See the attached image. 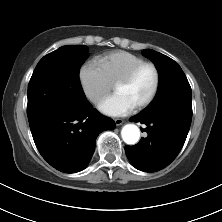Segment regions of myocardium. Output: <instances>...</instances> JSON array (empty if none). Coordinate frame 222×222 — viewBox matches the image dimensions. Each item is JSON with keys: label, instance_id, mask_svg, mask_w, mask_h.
Returning <instances> with one entry per match:
<instances>
[{"label": "myocardium", "instance_id": "1", "mask_svg": "<svg viewBox=\"0 0 222 222\" xmlns=\"http://www.w3.org/2000/svg\"><path fill=\"white\" fill-rule=\"evenodd\" d=\"M151 68L154 72L155 75V83H154V87L150 93V95L139 105H137L135 107V109L137 111H141L145 108H147L156 98L159 88H160V83H161V76H160V71L158 69V67L151 62H143L139 65H137L136 67H134L128 74H126L123 78H121L119 81H117L115 83V88L117 86H121V85H128L130 84L136 77L137 75L144 69V68Z\"/></svg>", "mask_w": 222, "mask_h": 222}]
</instances>
